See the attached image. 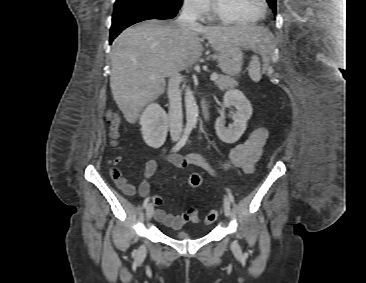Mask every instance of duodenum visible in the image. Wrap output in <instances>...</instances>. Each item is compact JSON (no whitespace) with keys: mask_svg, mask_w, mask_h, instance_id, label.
<instances>
[{"mask_svg":"<svg viewBox=\"0 0 366 283\" xmlns=\"http://www.w3.org/2000/svg\"><path fill=\"white\" fill-rule=\"evenodd\" d=\"M202 111H203V119L206 121L209 118L210 114V105L208 101H205L202 105Z\"/></svg>","mask_w":366,"mask_h":283,"instance_id":"obj_1","label":"duodenum"}]
</instances>
